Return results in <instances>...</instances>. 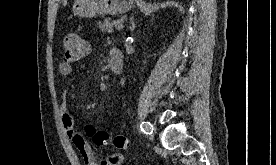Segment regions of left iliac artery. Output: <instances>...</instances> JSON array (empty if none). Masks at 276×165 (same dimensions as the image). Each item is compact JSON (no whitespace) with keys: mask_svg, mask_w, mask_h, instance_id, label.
<instances>
[{"mask_svg":"<svg viewBox=\"0 0 276 165\" xmlns=\"http://www.w3.org/2000/svg\"><path fill=\"white\" fill-rule=\"evenodd\" d=\"M141 131L144 133V134H147V135H150L153 131V126L150 122L148 121H144L141 123Z\"/></svg>","mask_w":276,"mask_h":165,"instance_id":"obj_1","label":"left iliac artery"}]
</instances>
